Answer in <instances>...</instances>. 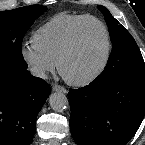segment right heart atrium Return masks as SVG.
Returning a JSON list of instances; mask_svg holds the SVG:
<instances>
[{
  "mask_svg": "<svg viewBox=\"0 0 145 145\" xmlns=\"http://www.w3.org/2000/svg\"><path fill=\"white\" fill-rule=\"evenodd\" d=\"M20 54L29 72L37 78L44 79L56 67V63L33 43L24 44Z\"/></svg>",
  "mask_w": 145,
  "mask_h": 145,
  "instance_id": "d8ad5b80",
  "label": "right heart atrium"
}]
</instances>
